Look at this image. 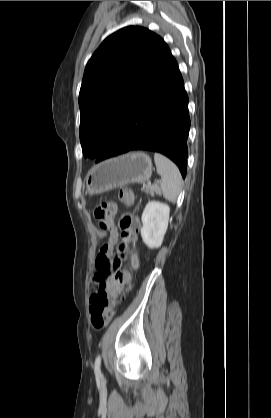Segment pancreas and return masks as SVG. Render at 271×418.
<instances>
[{
	"label": "pancreas",
	"mask_w": 271,
	"mask_h": 418,
	"mask_svg": "<svg viewBox=\"0 0 271 418\" xmlns=\"http://www.w3.org/2000/svg\"><path fill=\"white\" fill-rule=\"evenodd\" d=\"M142 191L146 194L154 195V194H160V190L158 186L153 185H145L142 188Z\"/></svg>",
	"instance_id": "obj_1"
}]
</instances>
